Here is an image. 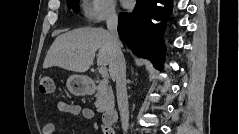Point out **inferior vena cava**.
<instances>
[{"label": "inferior vena cava", "mask_w": 239, "mask_h": 134, "mask_svg": "<svg viewBox=\"0 0 239 134\" xmlns=\"http://www.w3.org/2000/svg\"><path fill=\"white\" fill-rule=\"evenodd\" d=\"M107 29L113 44V60L109 66L110 75L116 80L118 109L124 133L129 128V105L126 89V64L121 51V43L117 33L118 17L115 9H111L107 16Z\"/></svg>", "instance_id": "1"}]
</instances>
